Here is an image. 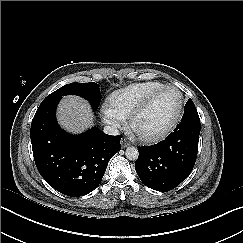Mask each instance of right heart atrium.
Returning a JSON list of instances; mask_svg holds the SVG:
<instances>
[{
	"label": "right heart atrium",
	"instance_id": "obj_1",
	"mask_svg": "<svg viewBox=\"0 0 243 243\" xmlns=\"http://www.w3.org/2000/svg\"><path fill=\"white\" fill-rule=\"evenodd\" d=\"M102 117L106 124L111 128L117 129L123 125L124 118L116 114L111 108L104 106L102 109Z\"/></svg>",
	"mask_w": 243,
	"mask_h": 243
}]
</instances>
